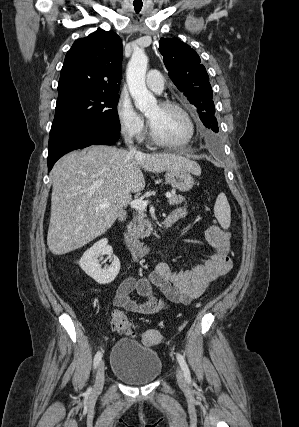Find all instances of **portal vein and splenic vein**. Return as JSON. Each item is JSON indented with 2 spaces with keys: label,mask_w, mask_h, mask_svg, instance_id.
<instances>
[{
  "label": "portal vein and splenic vein",
  "mask_w": 299,
  "mask_h": 427,
  "mask_svg": "<svg viewBox=\"0 0 299 427\" xmlns=\"http://www.w3.org/2000/svg\"><path fill=\"white\" fill-rule=\"evenodd\" d=\"M170 197H171V194L167 193L166 198H170ZM147 205H148V201L141 200V199H135L130 202V206L136 210H145ZM109 206H111V202H104L100 204L98 208H107Z\"/></svg>",
  "instance_id": "portal-vein-and-splenic-vein-1"
}]
</instances>
